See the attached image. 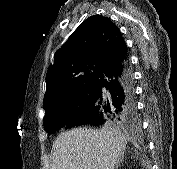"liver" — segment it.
Listing matches in <instances>:
<instances>
[{
	"instance_id": "obj_1",
	"label": "liver",
	"mask_w": 177,
	"mask_h": 169,
	"mask_svg": "<svg viewBox=\"0 0 177 169\" xmlns=\"http://www.w3.org/2000/svg\"><path fill=\"white\" fill-rule=\"evenodd\" d=\"M126 144L127 136L120 129L75 128L54 141L51 169H115Z\"/></svg>"
}]
</instances>
